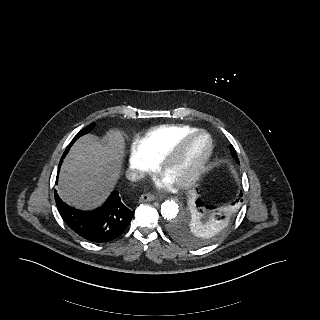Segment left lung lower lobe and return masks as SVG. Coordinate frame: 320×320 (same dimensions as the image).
<instances>
[{
  "mask_svg": "<svg viewBox=\"0 0 320 320\" xmlns=\"http://www.w3.org/2000/svg\"><path fill=\"white\" fill-rule=\"evenodd\" d=\"M240 196H242V193H240ZM239 200H240V198L236 199V201L232 205H235V203H238ZM196 204H197V207H201L203 205V203L201 202L200 199H198L196 201ZM207 208L213 209L214 207L207 206ZM223 218L224 217H221V218H218V219H212L211 220V223H212L211 228L213 229V228H217V227L223 226L226 223V221H222V222H219V223L217 222V220H220V219H223Z\"/></svg>",
  "mask_w": 320,
  "mask_h": 320,
  "instance_id": "1",
  "label": "left lung lower lobe"
}]
</instances>
